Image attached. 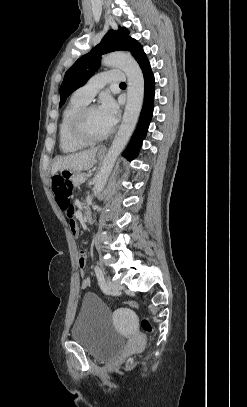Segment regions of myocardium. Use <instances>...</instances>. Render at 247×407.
<instances>
[{
  "label": "myocardium",
  "instance_id": "f54148a6",
  "mask_svg": "<svg viewBox=\"0 0 247 407\" xmlns=\"http://www.w3.org/2000/svg\"><path fill=\"white\" fill-rule=\"evenodd\" d=\"M96 108L97 107L95 105H85L75 114L72 120L71 131L74 138L85 145L100 143L107 139L113 131L111 128L109 131L99 137H92L88 134L86 130V116L90 110Z\"/></svg>",
  "mask_w": 247,
  "mask_h": 407
}]
</instances>
